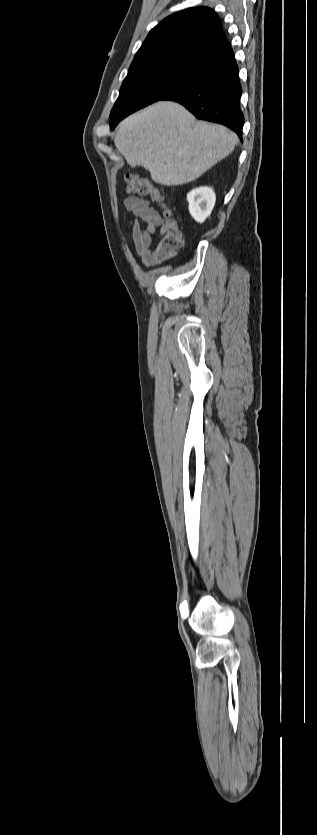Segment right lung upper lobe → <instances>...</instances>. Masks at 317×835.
I'll use <instances>...</instances> for the list:
<instances>
[{"mask_svg": "<svg viewBox=\"0 0 317 835\" xmlns=\"http://www.w3.org/2000/svg\"><path fill=\"white\" fill-rule=\"evenodd\" d=\"M228 44L221 21L210 8H190L155 26L136 53L128 73L218 49Z\"/></svg>", "mask_w": 317, "mask_h": 835, "instance_id": "obj_1", "label": "right lung upper lobe"}]
</instances>
